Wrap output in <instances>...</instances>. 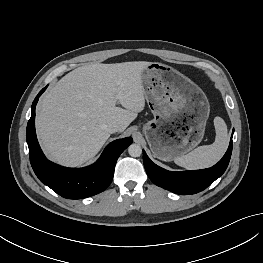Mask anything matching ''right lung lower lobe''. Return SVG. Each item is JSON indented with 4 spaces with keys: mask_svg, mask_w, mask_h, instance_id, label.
Here are the masks:
<instances>
[{
    "mask_svg": "<svg viewBox=\"0 0 263 263\" xmlns=\"http://www.w3.org/2000/svg\"><path fill=\"white\" fill-rule=\"evenodd\" d=\"M45 89L39 92L32 103V114L26 131L30 162L35 174L43 184L68 199H83L104 191L113 179L118 157L133 142L132 138L111 142L99 160L88 167L66 168L47 160L35 132V107Z\"/></svg>",
    "mask_w": 263,
    "mask_h": 263,
    "instance_id": "obj_1",
    "label": "right lung lower lobe"
}]
</instances>
